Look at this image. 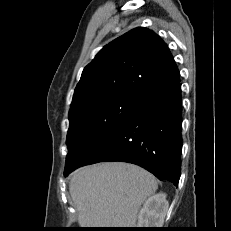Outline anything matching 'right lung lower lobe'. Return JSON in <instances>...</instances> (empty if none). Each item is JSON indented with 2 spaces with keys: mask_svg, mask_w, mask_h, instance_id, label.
Listing matches in <instances>:
<instances>
[{
  "mask_svg": "<svg viewBox=\"0 0 231 231\" xmlns=\"http://www.w3.org/2000/svg\"><path fill=\"white\" fill-rule=\"evenodd\" d=\"M181 84L141 97L137 111L95 146L74 169L103 161L139 165L175 186L181 175Z\"/></svg>",
  "mask_w": 231,
  "mask_h": 231,
  "instance_id": "1",
  "label": "right lung lower lobe"
}]
</instances>
